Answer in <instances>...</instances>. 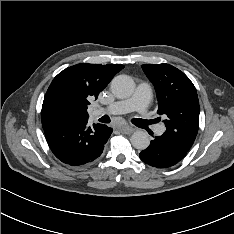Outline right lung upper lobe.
I'll use <instances>...</instances> for the list:
<instances>
[{
	"label": "right lung upper lobe",
	"instance_id": "cb5924a9",
	"mask_svg": "<svg viewBox=\"0 0 234 234\" xmlns=\"http://www.w3.org/2000/svg\"><path fill=\"white\" fill-rule=\"evenodd\" d=\"M124 68L121 64H77L64 69L50 84L42 105V123L53 112L67 120L88 119L90 100L98 97L113 76Z\"/></svg>",
	"mask_w": 234,
	"mask_h": 234
}]
</instances>
